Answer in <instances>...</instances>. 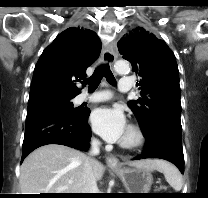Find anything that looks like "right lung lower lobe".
<instances>
[{"label":"right lung lower lobe","instance_id":"1","mask_svg":"<svg viewBox=\"0 0 208 198\" xmlns=\"http://www.w3.org/2000/svg\"><path fill=\"white\" fill-rule=\"evenodd\" d=\"M82 115L63 111H43L26 117V129L22 146V161L36 148L47 144H61L87 150L91 138L87 118L88 108Z\"/></svg>","mask_w":208,"mask_h":198}]
</instances>
